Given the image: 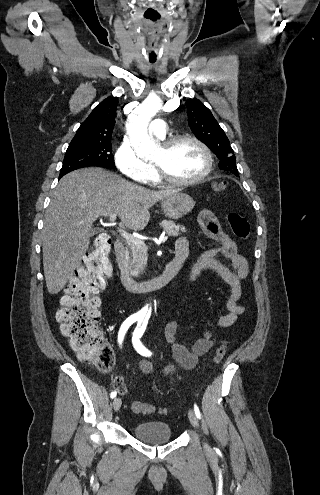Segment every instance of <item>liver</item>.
<instances>
[{"mask_svg": "<svg viewBox=\"0 0 320 495\" xmlns=\"http://www.w3.org/2000/svg\"><path fill=\"white\" fill-rule=\"evenodd\" d=\"M176 192L151 191L101 168L79 169L63 176L46 210L42 231L48 292L59 293L73 276L98 217L116 214L128 229L140 231L149 222V209Z\"/></svg>", "mask_w": 320, "mask_h": 495, "instance_id": "obj_1", "label": "liver"}]
</instances>
